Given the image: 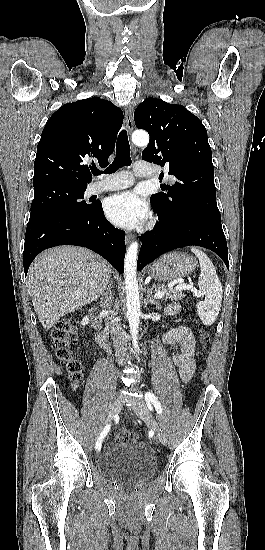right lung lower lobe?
I'll return each instance as SVG.
<instances>
[{"label":"right lung lower lobe","instance_id":"1","mask_svg":"<svg viewBox=\"0 0 265 550\" xmlns=\"http://www.w3.org/2000/svg\"><path fill=\"white\" fill-rule=\"evenodd\" d=\"M125 232L104 217L101 202L85 211H57L29 219L24 245V271L43 250L58 245H77L104 257L120 273L124 272Z\"/></svg>","mask_w":265,"mask_h":550}]
</instances>
